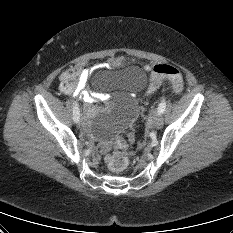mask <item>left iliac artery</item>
<instances>
[{"label":"left iliac artery","mask_w":233,"mask_h":233,"mask_svg":"<svg viewBox=\"0 0 233 233\" xmlns=\"http://www.w3.org/2000/svg\"><path fill=\"white\" fill-rule=\"evenodd\" d=\"M165 108H166V100L163 99L158 106V112L162 114L165 111Z\"/></svg>","instance_id":"left-iliac-artery-1"}]
</instances>
